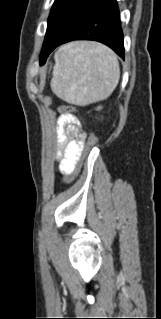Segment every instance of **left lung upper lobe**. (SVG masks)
<instances>
[{
  "instance_id": "5c2ea615",
  "label": "left lung upper lobe",
  "mask_w": 161,
  "mask_h": 319,
  "mask_svg": "<svg viewBox=\"0 0 161 319\" xmlns=\"http://www.w3.org/2000/svg\"><path fill=\"white\" fill-rule=\"evenodd\" d=\"M101 0H55L51 9L47 32L40 56L43 64L45 51L60 40L82 17Z\"/></svg>"
}]
</instances>
